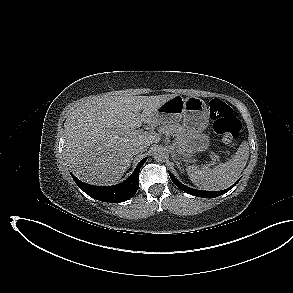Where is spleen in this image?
<instances>
[{
	"label": "spleen",
	"instance_id": "obj_1",
	"mask_svg": "<svg viewBox=\"0 0 293 293\" xmlns=\"http://www.w3.org/2000/svg\"><path fill=\"white\" fill-rule=\"evenodd\" d=\"M249 158L248 142L243 141L232 158L213 168L208 166H188L190 180L200 189L218 191L231 186L245 168Z\"/></svg>",
	"mask_w": 293,
	"mask_h": 293
}]
</instances>
